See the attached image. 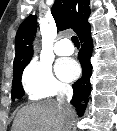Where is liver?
Segmentation results:
<instances>
[{
    "instance_id": "6515ba94",
    "label": "liver",
    "mask_w": 117,
    "mask_h": 131,
    "mask_svg": "<svg viewBox=\"0 0 117 131\" xmlns=\"http://www.w3.org/2000/svg\"><path fill=\"white\" fill-rule=\"evenodd\" d=\"M68 116L55 100L24 106L19 110L12 131H67Z\"/></svg>"
}]
</instances>
